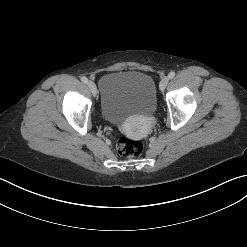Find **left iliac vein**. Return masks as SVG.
I'll return each instance as SVG.
<instances>
[{"mask_svg":"<svg viewBox=\"0 0 247 247\" xmlns=\"http://www.w3.org/2000/svg\"><path fill=\"white\" fill-rule=\"evenodd\" d=\"M168 82H169V77H167V76L163 77L160 81V84H159L160 90L163 91L166 88Z\"/></svg>","mask_w":247,"mask_h":247,"instance_id":"1","label":"left iliac vein"}]
</instances>
